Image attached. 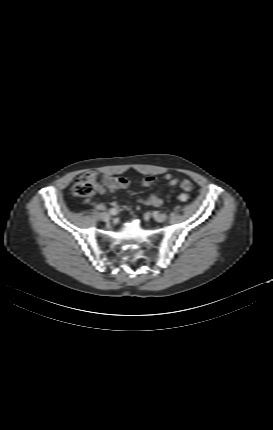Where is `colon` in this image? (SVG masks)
<instances>
[{
  "label": "colon",
  "mask_w": 273,
  "mask_h": 430,
  "mask_svg": "<svg viewBox=\"0 0 273 430\" xmlns=\"http://www.w3.org/2000/svg\"><path fill=\"white\" fill-rule=\"evenodd\" d=\"M182 189L185 192H191L193 185L190 181L182 183ZM98 191V183L92 173H85L81 175L72 187V193L78 197H91ZM181 198V196H180Z\"/></svg>",
  "instance_id": "5ec220e1"
}]
</instances>
